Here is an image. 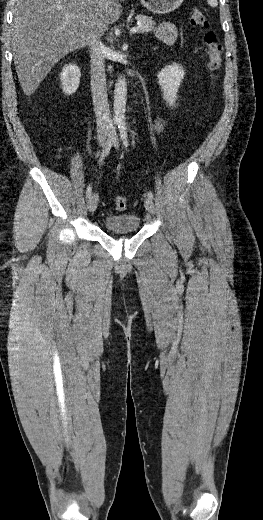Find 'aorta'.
<instances>
[{"label": "aorta", "mask_w": 263, "mask_h": 520, "mask_svg": "<svg viewBox=\"0 0 263 520\" xmlns=\"http://www.w3.org/2000/svg\"><path fill=\"white\" fill-rule=\"evenodd\" d=\"M127 100V82L124 76H119L114 89V119L123 121L125 119V108Z\"/></svg>", "instance_id": "762f6f07"}]
</instances>
